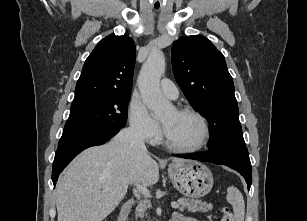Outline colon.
<instances>
[{"label":"colon","mask_w":307,"mask_h":221,"mask_svg":"<svg viewBox=\"0 0 307 221\" xmlns=\"http://www.w3.org/2000/svg\"><path fill=\"white\" fill-rule=\"evenodd\" d=\"M221 221H235V216L228 207L222 208Z\"/></svg>","instance_id":"colon-1"}]
</instances>
